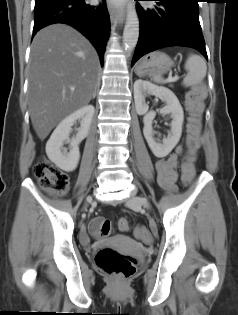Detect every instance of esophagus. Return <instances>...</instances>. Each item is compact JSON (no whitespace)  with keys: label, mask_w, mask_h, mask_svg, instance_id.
I'll return each instance as SVG.
<instances>
[{"label":"esophagus","mask_w":238,"mask_h":315,"mask_svg":"<svg viewBox=\"0 0 238 315\" xmlns=\"http://www.w3.org/2000/svg\"><path fill=\"white\" fill-rule=\"evenodd\" d=\"M108 9L113 25H122L125 20L124 5L119 4L117 1L114 0H108Z\"/></svg>","instance_id":"34e87169"}]
</instances>
